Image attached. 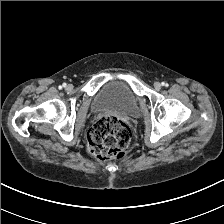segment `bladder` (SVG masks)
I'll return each mask as SVG.
<instances>
[{"label": "bladder", "mask_w": 224, "mask_h": 224, "mask_svg": "<svg viewBox=\"0 0 224 224\" xmlns=\"http://www.w3.org/2000/svg\"><path fill=\"white\" fill-rule=\"evenodd\" d=\"M91 107L94 111H113L122 115L138 113V99L131 88L119 80L108 81L95 93Z\"/></svg>", "instance_id": "bladder-1"}]
</instances>
